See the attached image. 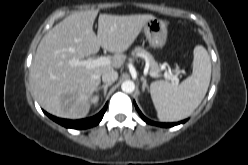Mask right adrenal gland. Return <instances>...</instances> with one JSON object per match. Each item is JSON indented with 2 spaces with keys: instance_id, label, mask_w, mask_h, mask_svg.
<instances>
[{
  "instance_id": "2a0ac1e0",
  "label": "right adrenal gland",
  "mask_w": 248,
  "mask_h": 165,
  "mask_svg": "<svg viewBox=\"0 0 248 165\" xmlns=\"http://www.w3.org/2000/svg\"><path fill=\"white\" fill-rule=\"evenodd\" d=\"M112 84H103L102 86H99L98 88H97V92L100 90V89H104V96H106V93H107V89H108V87L109 86H111Z\"/></svg>"
}]
</instances>
